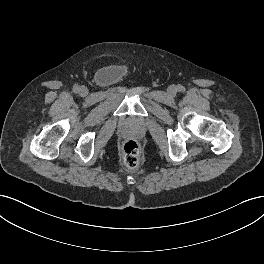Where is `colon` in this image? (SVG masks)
<instances>
[{
    "label": "colon",
    "mask_w": 264,
    "mask_h": 264,
    "mask_svg": "<svg viewBox=\"0 0 264 264\" xmlns=\"http://www.w3.org/2000/svg\"><path fill=\"white\" fill-rule=\"evenodd\" d=\"M122 155L125 165L129 168H135L140 163L141 150L139 144L133 140H127L122 146Z\"/></svg>",
    "instance_id": "5ec220e1"
}]
</instances>
